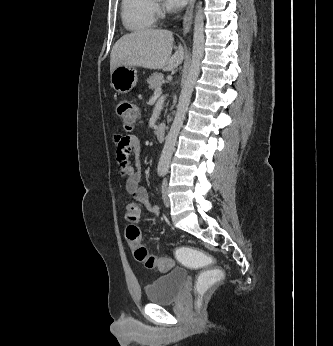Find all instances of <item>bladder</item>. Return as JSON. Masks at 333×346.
<instances>
[{
  "mask_svg": "<svg viewBox=\"0 0 333 346\" xmlns=\"http://www.w3.org/2000/svg\"><path fill=\"white\" fill-rule=\"evenodd\" d=\"M187 281V272L175 268L165 275L157 277L146 286V297L149 303L167 304L175 301Z\"/></svg>",
  "mask_w": 333,
  "mask_h": 346,
  "instance_id": "obj_1",
  "label": "bladder"
}]
</instances>
